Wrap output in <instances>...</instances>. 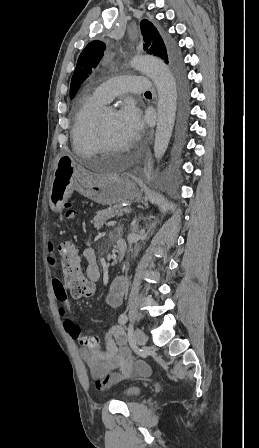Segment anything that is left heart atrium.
Returning <instances> with one entry per match:
<instances>
[{"mask_svg": "<svg viewBox=\"0 0 259 448\" xmlns=\"http://www.w3.org/2000/svg\"><path fill=\"white\" fill-rule=\"evenodd\" d=\"M117 122L122 130L130 137H139L143 130L142 113L133 102H125L117 113Z\"/></svg>", "mask_w": 259, "mask_h": 448, "instance_id": "39dd6f15", "label": "left heart atrium"}]
</instances>
